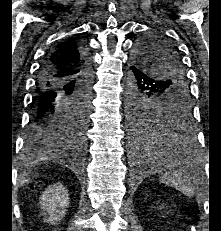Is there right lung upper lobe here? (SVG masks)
<instances>
[{"label":"right lung upper lobe","mask_w":221,"mask_h":231,"mask_svg":"<svg viewBox=\"0 0 221 231\" xmlns=\"http://www.w3.org/2000/svg\"><path fill=\"white\" fill-rule=\"evenodd\" d=\"M85 50L74 40H68L54 49L46 58L45 63L54 68L50 79L66 83L81 73V59Z\"/></svg>","instance_id":"1"}]
</instances>
